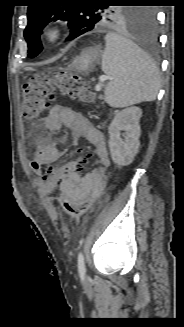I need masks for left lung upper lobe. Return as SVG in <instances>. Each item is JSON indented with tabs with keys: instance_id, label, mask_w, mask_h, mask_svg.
Masks as SVG:
<instances>
[{
	"instance_id": "left-lung-upper-lobe-1",
	"label": "left lung upper lobe",
	"mask_w": 184,
	"mask_h": 327,
	"mask_svg": "<svg viewBox=\"0 0 184 327\" xmlns=\"http://www.w3.org/2000/svg\"><path fill=\"white\" fill-rule=\"evenodd\" d=\"M47 0H35L28 6V25L24 37L28 44V57L34 58L42 51L40 34L50 22L68 21L72 35H81L102 25L128 24L137 26L147 11L139 7H115L111 3H132L134 0H100L97 4H85V0H74V4L59 6L46 4Z\"/></svg>"
}]
</instances>
